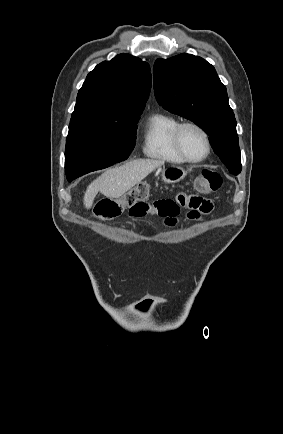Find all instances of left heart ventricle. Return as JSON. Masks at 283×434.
I'll list each match as a JSON object with an SVG mask.
<instances>
[{
    "mask_svg": "<svg viewBox=\"0 0 283 434\" xmlns=\"http://www.w3.org/2000/svg\"><path fill=\"white\" fill-rule=\"evenodd\" d=\"M181 144L185 153L191 158H199L206 152L202 134L193 127H187L182 131Z\"/></svg>",
    "mask_w": 283,
    "mask_h": 434,
    "instance_id": "obj_1",
    "label": "left heart ventricle"
}]
</instances>
